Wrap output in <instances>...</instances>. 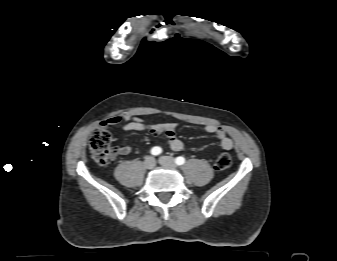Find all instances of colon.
I'll use <instances>...</instances> for the list:
<instances>
[{
  "label": "colon",
  "mask_w": 337,
  "mask_h": 261,
  "mask_svg": "<svg viewBox=\"0 0 337 261\" xmlns=\"http://www.w3.org/2000/svg\"><path fill=\"white\" fill-rule=\"evenodd\" d=\"M89 149L93 160L99 165L107 164L115 153L111 143V136L107 131H94L89 140ZM231 156L227 152L218 155L215 161V168L218 171L226 170L231 165Z\"/></svg>",
  "instance_id": "colon-1"
}]
</instances>
